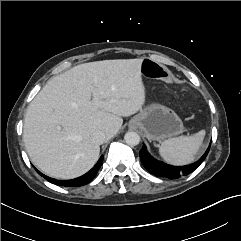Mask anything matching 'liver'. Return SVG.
<instances>
[{
  "instance_id": "liver-1",
  "label": "liver",
  "mask_w": 241,
  "mask_h": 241,
  "mask_svg": "<svg viewBox=\"0 0 241 241\" xmlns=\"http://www.w3.org/2000/svg\"><path fill=\"white\" fill-rule=\"evenodd\" d=\"M142 59L89 62L51 78L29 104L23 140L32 163L48 176L72 179L97 162L95 131L117 134L122 117L145 103Z\"/></svg>"
}]
</instances>
